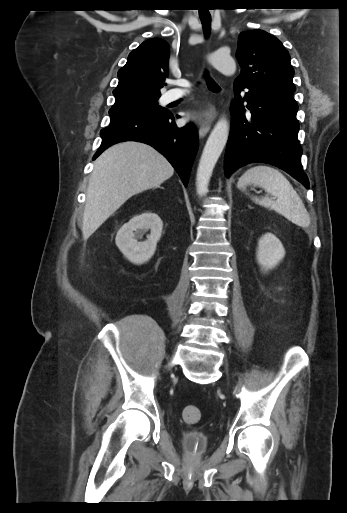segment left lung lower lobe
Returning <instances> with one entry per match:
<instances>
[{
  "instance_id": "left-lung-lower-lobe-1",
  "label": "left lung lower lobe",
  "mask_w": 347,
  "mask_h": 513,
  "mask_svg": "<svg viewBox=\"0 0 347 513\" xmlns=\"http://www.w3.org/2000/svg\"><path fill=\"white\" fill-rule=\"evenodd\" d=\"M248 91L240 95L244 89ZM231 102V131L225 155V174L239 167L262 162L275 165L309 188L302 169V148L294 90L256 88L234 83ZM246 103V106H244ZM246 107L249 113H246Z\"/></svg>"
}]
</instances>
